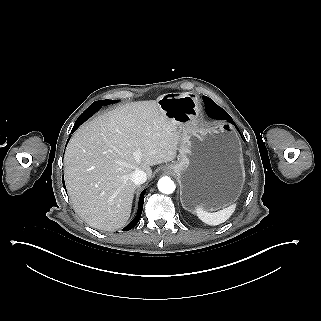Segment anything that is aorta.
Listing matches in <instances>:
<instances>
[{
  "mask_svg": "<svg viewBox=\"0 0 321 321\" xmlns=\"http://www.w3.org/2000/svg\"><path fill=\"white\" fill-rule=\"evenodd\" d=\"M175 184L169 177H162L158 181V189L160 192L165 193V194H171L175 190Z\"/></svg>",
  "mask_w": 321,
  "mask_h": 321,
  "instance_id": "aorta-1",
  "label": "aorta"
}]
</instances>
